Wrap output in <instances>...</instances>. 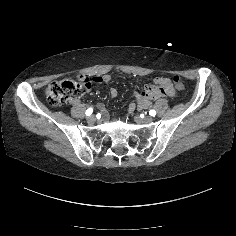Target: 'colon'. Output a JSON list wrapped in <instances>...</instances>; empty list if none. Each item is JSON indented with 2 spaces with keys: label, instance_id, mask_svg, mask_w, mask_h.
I'll list each match as a JSON object with an SVG mask.
<instances>
[{
  "label": "colon",
  "instance_id": "colon-1",
  "mask_svg": "<svg viewBox=\"0 0 236 236\" xmlns=\"http://www.w3.org/2000/svg\"><path fill=\"white\" fill-rule=\"evenodd\" d=\"M175 87L184 92L186 85L179 76L173 77ZM91 86L88 77L64 78L50 83L45 91L46 99L52 106H59L81 97Z\"/></svg>",
  "mask_w": 236,
  "mask_h": 236
}]
</instances>
